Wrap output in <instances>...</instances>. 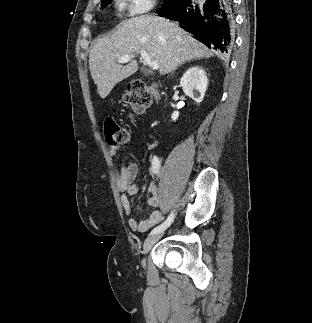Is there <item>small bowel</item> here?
<instances>
[{
  "label": "small bowel",
  "mask_w": 312,
  "mask_h": 323,
  "mask_svg": "<svg viewBox=\"0 0 312 323\" xmlns=\"http://www.w3.org/2000/svg\"><path fill=\"white\" fill-rule=\"evenodd\" d=\"M111 156H115L116 148H111L109 151ZM138 173V167L135 163L123 165L116 177L118 189L123 192L121 197V205L129 217V227L138 232H145L158 225L163 220V212L160 209L155 210L146 220H138L133 215V209L129 197H134L138 194L139 189L135 184V179ZM147 202L150 206L158 208L160 205L158 198V189L156 184L150 183L147 188Z\"/></svg>",
  "instance_id": "obj_1"
}]
</instances>
